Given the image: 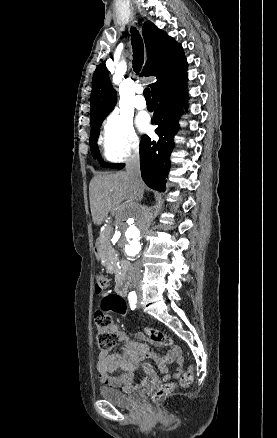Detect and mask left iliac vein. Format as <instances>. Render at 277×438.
Returning a JSON list of instances; mask_svg holds the SVG:
<instances>
[{
    "label": "left iliac vein",
    "mask_w": 277,
    "mask_h": 438,
    "mask_svg": "<svg viewBox=\"0 0 277 438\" xmlns=\"http://www.w3.org/2000/svg\"><path fill=\"white\" fill-rule=\"evenodd\" d=\"M137 308H140V300H138Z\"/></svg>",
    "instance_id": "left-iliac-vein-1"
}]
</instances>
